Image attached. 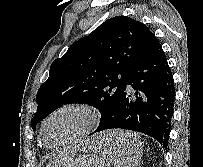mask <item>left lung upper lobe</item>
Wrapping results in <instances>:
<instances>
[{
    "mask_svg": "<svg viewBox=\"0 0 203 167\" xmlns=\"http://www.w3.org/2000/svg\"><path fill=\"white\" fill-rule=\"evenodd\" d=\"M157 38L143 23L127 16L108 19L53 61L36 95V124L64 104L85 103L101 112L102 126L122 96L134 65Z\"/></svg>",
    "mask_w": 203,
    "mask_h": 167,
    "instance_id": "1",
    "label": "left lung upper lobe"
}]
</instances>
